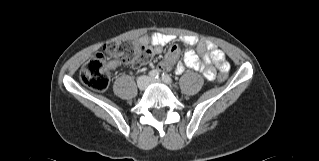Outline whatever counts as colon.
Masks as SVG:
<instances>
[{"label":"colon","mask_w":319,"mask_h":161,"mask_svg":"<svg viewBox=\"0 0 319 161\" xmlns=\"http://www.w3.org/2000/svg\"><path fill=\"white\" fill-rule=\"evenodd\" d=\"M150 58V51L140 44L133 41H111L81 67L79 77L88 88L102 91L109 85V69L113 62L142 66L147 65ZM226 79V72H221L218 80L224 82Z\"/></svg>","instance_id":"5ec220e1"}]
</instances>
